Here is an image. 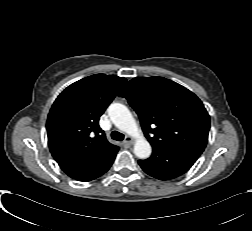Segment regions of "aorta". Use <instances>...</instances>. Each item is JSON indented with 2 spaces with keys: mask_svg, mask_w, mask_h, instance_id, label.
<instances>
[{
  "mask_svg": "<svg viewBox=\"0 0 252 231\" xmlns=\"http://www.w3.org/2000/svg\"><path fill=\"white\" fill-rule=\"evenodd\" d=\"M108 114L119 130L135 138L134 154L139 159H147L152 152L151 145L143 136L130 110L121 103H113L108 108Z\"/></svg>",
  "mask_w": 252,
  "mask_h": 231,
  "instance_id": "aorta-1",
  "label": "aorta"
}]
</instances>
